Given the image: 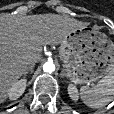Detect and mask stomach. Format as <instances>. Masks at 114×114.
I'll return each mask as SVG.
<instances>
[{
    "mask_svg": "<svg viewBox=\"0 0 114 114\" xmlns=\"http://www.w3.org/2000/svg\"><path fill=\"white\" fill-rule=\"evenodd\" d=\"M67 77L75 84L89 85L114 69V43L88 25L71 31L60 45Z\"/></svg>",
    "mask_w": 114,
    "mask_h": 114,
    "instance_id": "stomach-1",
    "label": "stomach"
}]
</instances>
